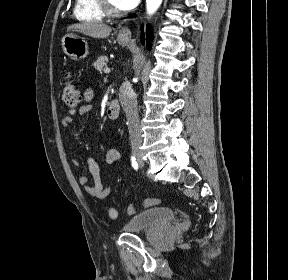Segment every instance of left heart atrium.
I'll return each instance as SVG.
<instances>
[{
    "label": "left heart atrium",
    "instance_id": "39dd6f15",
    "mask_svg": "<svg viewBox=\"0 0 288 280\" xmlns=\"http://www.w3.org/2000/svg\"><path fill=\"white\" fill-rule=\"evenodd\" d=\"M139 0H115L117 8L128 10L133 8Z\"/></svg>",
    "mask_w": 288,
    "mask_h": 280
}]
</instances>
